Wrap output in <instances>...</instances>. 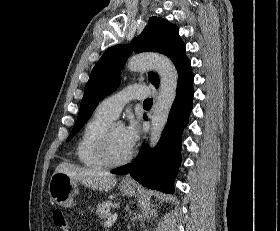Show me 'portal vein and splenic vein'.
Masks as SVG:
<instances>
[{
	"label": "portal vein and splenic vein",
	"mask_w": 280,
	"mask_h": 231,
	"mask_svg": "<svg viewBox=\"0 0 280 231\" xmlns=\"http://www.w3.org/2000/svg\"><path fill=\"white\" fill-rule=\"evenodd\" d=\"M116 219H117V213H113V215H110V217L106 219L104 225H106V227H109V225H113V223H115Z\"/></svg>",
	"instance_id": "18ae733b"
}]
</instances>
